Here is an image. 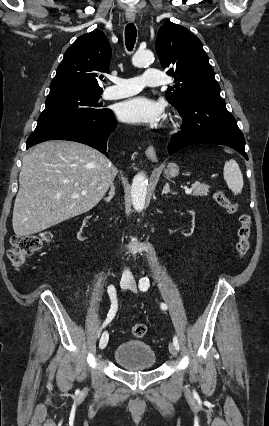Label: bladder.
Wrapping results in <instances>:
<instances>
[{"label":"bladder","mask_w":269,"mask_h":426,"mask_svg":"<svg viewBox=\"0 0 269 426\" xmlns=\"http://www.w3.org/2000/svg\"><path fill=\"white\" fill-rule=\"evenodd\" d=\"M113 360L125 371H147L155 367L157 359L154 350L144 341L127 340L116 346Z\"/></svg>","instance_id":"1"}]
</instances>
